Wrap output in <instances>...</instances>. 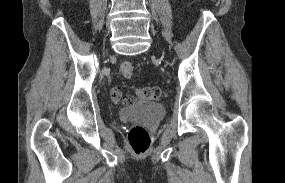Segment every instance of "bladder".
<instances>
[{
	"instance_id": "31cf9c89",
	"label": "bladder",
	"mask_w": 285,
	"mask_h": 183,
	"mask_svg": "<svg viewBox=\"0 0 285 183\" xmlns=\"http://www.w3.org/2000/svg\"><path fill=\"white\" fill-rule=\"evenodd\" d=\"M119 115L122 118H134L148 127H155L163 119L165 109L155 102H141L121 108Z\"/></svg>"
}]
</instances>
